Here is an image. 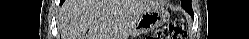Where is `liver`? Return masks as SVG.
<instances>
[{"label": "liver", "instance_id": "obj_1", "mask_svg": "<svg viewBox=\"0 0 249 39\" xmlns=\"http://www.w3.org/2000/svg\"><path fill=\"white\" fill-rule=\"evenodd\" d=\"M157 7V0H73L65 8L62 39H127L135 20Z\"/></svg>", "mask_w": 249, "mask_h": 39}]
</instances>
